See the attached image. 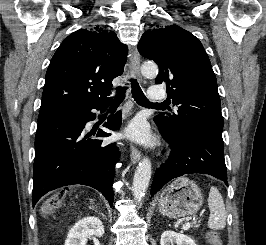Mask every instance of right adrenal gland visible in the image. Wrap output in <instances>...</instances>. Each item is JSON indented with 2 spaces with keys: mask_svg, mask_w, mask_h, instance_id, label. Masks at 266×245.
I'll list each match as a JSON object with an SVG mask.
<instances>
[{
  "mask_svg": "<svg viewBox=\"0 0 266 245\" xmlns=\"http://www.w3.org/2000/svg\"><path fill=\"white\" fill-rule=\"evenodd\" d=\"M89 201H90V205H91L92 211H95V213H97V207H96V205H94L92 199H89ZM99 215H102V217H105V215H103V213H99Z\"/></svg>",
  "mask_w": 266,
  "mask_h": 245,
  "instance_id": "right-adrenal-gland-1",
  "label": "right adrenal gland"
}]
</instances>
